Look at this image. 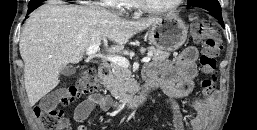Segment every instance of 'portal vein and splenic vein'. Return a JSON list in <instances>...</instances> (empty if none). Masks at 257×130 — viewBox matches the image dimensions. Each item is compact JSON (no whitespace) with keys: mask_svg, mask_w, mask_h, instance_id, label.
<instances>
[{"mask_svg":"<svg viewBox=\"0 0 257 130\" xmlns=\"http://www.w3.org/2000/svg\"><path fill=\"white\" fill-rule=\"evenodd\" d=\"M98 50H99V45L95 44V45L90 46L86 50V54L88 55L89 58H92V57L95 56V54L98 52ZM151 55L152 54H150L147 57H144L142 59V62H144V63L150 62ZM104 59L109 61V62H111V63H114V64H117L119 66H122L124 68H128L129 67V61L126 58L121 57V56H107V57H104Z\"/></svg>","mask_w":257,"mask_h":130,"instance_id":"18ae733b","label":"portal vein and splenic vein"}]
</instances>
